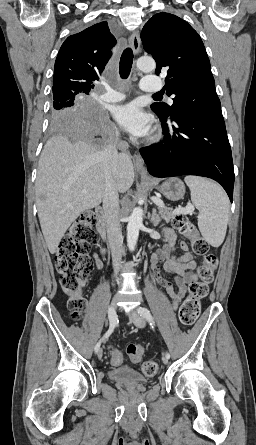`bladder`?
<instances>
[{
  "label": "bladder",
  "mask_w": 256,
  "mask_h": 445,
  "mask_svg": "<svg viewBox=\"0 0 256 445\" xmlns=\"http://www.w3.org/2000/svg\"><path fill=\"white\" fill-rule=\"evenodd\" d=\"M108 377L115 383L128 386L148 384L150 382V379L145 377L138 370L129 366L110 369L108 371Z\"/></svg>",
  "instance_id": "1"
}]
</instances>
